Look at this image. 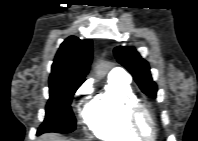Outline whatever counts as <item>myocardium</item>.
Returning a JSON list of instances; mask_svg holds the SVG:
<instances>
[{
  "mask_svg": "<svg viewBox=\"0 0 198 141\" xmlns=\"http://www.w3.org/2000/svg\"><path fill=\"white\" fill-rule=\"evenodd\" d=\"M127 122L138 138L153 140L158 136L157 119L153 110L143 101L135 99L127 106ZM145 116L152 126V134L146 135L140 125V117Z\"/></svg>",
  "mask_w": 198,
  "mask_h": 141,
  "instance_id": "myocardium-1",
  "label": "myocardium"
}]
</instances>
